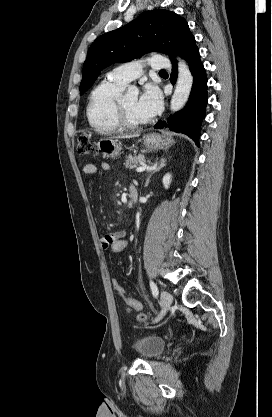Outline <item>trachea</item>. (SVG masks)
<instances>
[{"label":"trachea","instance_id":"3493384b","mask_svg":"<svg viewBox=\"0 0 272 417\" xmlns=\"http://www.w3.org/2000/svg\"><path fill=\"white\" fill-rule=\"evenodd\" d=\"M160 73H166V71L165 70H161Z\"/></svg>","mask_w":272,"mask_h":417}]
</instances>
